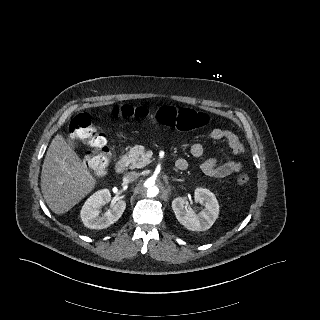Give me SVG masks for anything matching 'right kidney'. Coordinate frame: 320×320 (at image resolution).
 <instances>
[{
    "mask_svg": "<svg viewBox=\"0 0 320 320\" xmlns=\"http://www.w3.org/2000/svg\"><path fill=\"white\" fill-rule=\"evenodd\" d=\"M110 200L111 194L108 189L99 190L87 199L80 212L85 227L90 229H104L115 223L121 217L126 208L124 200H119L100 216L101 207Z\"/></svg>",
    "mask_w": 320,
    "mask_h": 320,
    "instance_id": "ca27d5eb",
    "label": "right kidney"
}]
</instances>
